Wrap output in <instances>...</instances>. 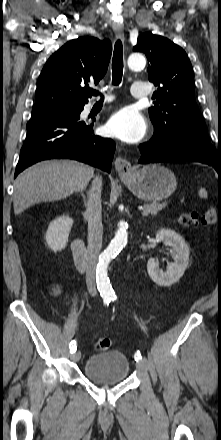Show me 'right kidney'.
I'll return each mask as SVG.
<instances>
[{
	"label": "right kidney",
	"mask_w": 221,
	"mask_h": 440,
	"mask_svg": "<svg viewBox=\"0 0 221 440\" xmlns=\"http://www.w3.org/2000/svg\"><path fill=\"white\" fill-rule=\"evenodd\" d=\"M72 225L73 219L68 216L58 217L50 223L45 240L52 251L57 252L65 248Z\"/></svg>",
	"instance_id": "obj_1"
}]
</instances>
